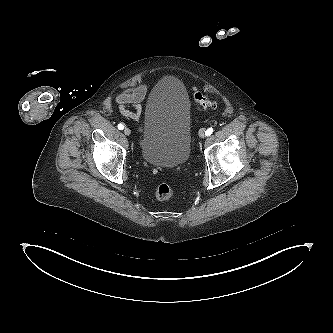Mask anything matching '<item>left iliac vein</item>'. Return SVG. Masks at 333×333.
<instances>
[{
  "label": "left iliac vein",
  "mask_w": 333,
  "mask_h": 333,
  "mask_svg": "<svg viewBox=\"0 0 333 333\" xmlns=\"http://www.w3.org/2000/svg\"><path fill=\"white\" fill-rule=\"evenodd\" d=\"M199 136L201 137V138H204L206 135H205V129L204 128H202V129H200L199 130Z\"/></svg>",
  "instance_id": "left-iliac-vein-1"
}]
</instances>
